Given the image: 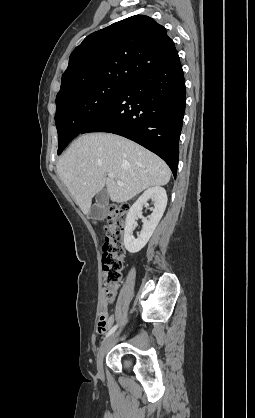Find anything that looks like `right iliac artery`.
<instances>
[{
	"label": "right iliac artery",
	"mask_w": 255,
	"mask_h": 418,
	"mask_svg": "<svg viewBox=\"0 0 255 418\" xmlns=\"http://www.w3.org/2000/svg\"><path fill=\"white\" fill-rule=\"evenodd\" d=\"M117 327H118V324H116L115 326H113L109 331H108V333L106 334V338L107 337H109L112 333H114L115 332V330L117 329Z\"/></svg>",
	"instance_id": "82829eb1"
}]
</instances>
